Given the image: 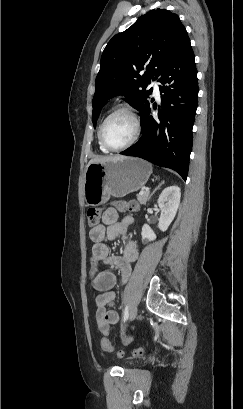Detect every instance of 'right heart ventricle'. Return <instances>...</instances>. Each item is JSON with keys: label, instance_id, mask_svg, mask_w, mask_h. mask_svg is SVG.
Here are the masks:
<instances>
[{"label": "right heart ventricle", "instance_id": "1", "mask_svg": "<svg viewBox=\"0 0 243 409\" xmlns=\"http://www.w3.org/2000/svg\"><path fill=\"white\" fill-rule=\"evenodd\" d=\"M98 146H99L100 151H102L103 153H108V152H109V150H107V149L100 143L99 137H98Z\"/></svg>", "mask_w": 243, "mask_h": 409}]
</instances>
